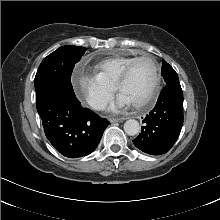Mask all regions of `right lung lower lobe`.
I'll use <instances>...</instances> for the list:
<instances>
[{"mask_svg": "<svg viewBox=\"0 0 220 220\" xmlns=\"http://www.w3.org/2000/svg\"><path fill=\"white\" fill-rule=\"evenodd\" d=\"M36 102L47 139L68 158L92 153L110 124L93 111L83 108L74 91L65 87L49 90Z\"/></svg>", "mask_w": 220, "mask_h": 220, "instance_id": "right-lung-lower-lobe-1", "label": "right lung lower lobe"}]
</instances>
